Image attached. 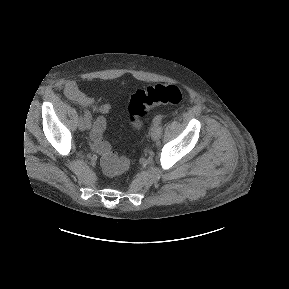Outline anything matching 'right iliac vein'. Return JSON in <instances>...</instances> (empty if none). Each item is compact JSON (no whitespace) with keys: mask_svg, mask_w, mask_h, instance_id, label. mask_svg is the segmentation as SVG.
I'll use <instances>...</instances> for the list:
<instances>
[{"mask_svg":"<svg viewBox=\"0 0 289 289\" xmlns=\"http://www.w3.org/2000/svg\"><path fill=\"white\" fill-rule=\"evenodd\" d=\"M91 126V123L89 120H87L84 117H80L79 122H78V127L81 131H85L87 129H89Z\"/></svg>","mask_w":289,"mask_h":289,"instance_id":"63e3f726","label":"right iliac vein"}]
</instances>
